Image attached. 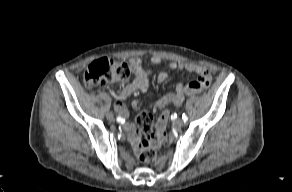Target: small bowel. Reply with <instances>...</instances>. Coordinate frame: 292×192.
<instances>
[{"label": "small bowel", "instance_id": "small-bowel-1", "mask_svg": "<svg viewBox=\"0 0 292 192\" xmlns=\"http://www.w3.org/2000/svg\"><path fill=\"white\" fill-rule=\"evenodd\" d=\"M151 62L154 65H158L161 62V58L159 56H153L151 58ZM128 67L130 72L134 75V80L124 86L118 94L113 92L118 101L116 108L121 117H125L126 119L127 111L123 106L122 101L137 91L146 92L149 87V76L153 73V70L143 67L142 60L138 57L131 58L128 62ZM169 68L171 70H186L188 72H194L197 74V78L196 80L190 82L186 87L179 85L175 93L167 94L154 102L152 105L153 109L163 108L169 104L180 106L183 103L186 95L200 92L210 85L211 74L204 66L193 63L170 62ZM167 79L168 74L166 72L162 71L158 74V80L160 82H165ZM134 106L138 108V102H134ZM170 117L171 111L169 109H164L157 124L158 132L154 133L152 136L153 141L156 142L155 146L158 149L163 148V141L168 139L167 126L170 121ZM122 127L127 133L132 147L137 153H139L143 147L144 138L142 139L141 135L142 133L144 134V132L134 124L130 123L128 120L125 124H122ZM150 133H152V127L150 128Z\"/></svg>", "mask_w": 292, "mask_h": 192}]
</instances>
